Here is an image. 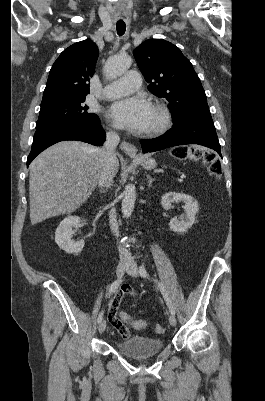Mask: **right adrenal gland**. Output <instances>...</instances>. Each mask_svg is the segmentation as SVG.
Wrapping results in <instances>:
<instances>
[{
	"mask_svg": "<svg viewBox=\"0 0 265 401\" xmlns=\"http://www.w3.org/2000/svg\"><path fill=\"white\" fill-rule=\"evenodd\" d=\"M100 192H107V188H105V190H100Z\"/></svg>",
	"mask_w": 265,
	"mask_h": 401,
	"instance_id": "obj_1",
	"label": "right adrenal gland"
}]
</instances>
